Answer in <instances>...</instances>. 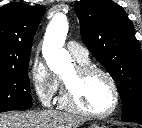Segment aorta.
Wrapping results in <instances>:
<instances>
[{
	"mask_svg": "<svg viewBox=\"0 0 142 128\" xmlns=\"http://www.w3.org/2000/svg\"><path fill=\"white\" fill-rule=\"evenodd\" d=\"M68 21L64 14H56L47 27L42 52L49 68L54 73H61L69 68L71 55L63 49L68 33Z\"/></svg>",
	"mask_w": 142,
	"mask_h": 128,
	"instance_id": "1",
	"label": "aorta"
}]
</instances>
